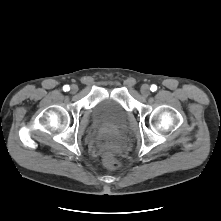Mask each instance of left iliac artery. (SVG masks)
Returning a JSON list of instances; mask_svg holds the SVG:
<instances>
[{"mask_svg":"<svg viewBox=\"0 0 221 221\" xmlns=\"http://www.w3.org/2000/svg\"><path fill=\"white\" fill-rule=\"evenodd\" d=\"M150 90H151L152 92L156 91V90H157V86L154 85V84L151 85Z\"/></svg>","mask_w":221,"mask_h":221,"instance_id":"left-iliac-artery-1","label":"left iliac artery"}]
</instances>
